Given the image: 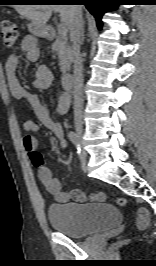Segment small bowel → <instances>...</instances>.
Wrapping results in <instances>:
<instances>
[{
	"mask_svg": "<svg viewBox=\"0 0 156 266\" xmlns=\"http://www.w3.org/2000/svg\"><path fill=\"white\" fill-rule=\"evenodd\" d=\"M20 47L29 60L37 58L39 50L32 36H25L21 41ZM18 65L19 57L14 54L10 55L5 63L7 84L11 95L19 101L26 102L31 107L40 122L55 135L60 144V148L64 149L66 147V140L61 122L51 116L49 109L40 101L36 94L29 93L24 89L17 75ZM52 78L50 70L46 66H40L36 71L33 85L40 90L47 89L52 83ZM69 106L70 98L68 94H61L57 105L58 113L60 115H65ZM23 128L28 133L23 138V148L31 157L33 153L38 152V141L34 135L39 132V125L32 119H27L23 124ZM37 168L40 181L47 192L53 195L57 202L65 203L70 200L83 202L86 199L85 194L78 189L62 191L60 181L53 176L51 170L45 165H41ZM91 199L101 202L105 200V195L99 192L93 194Z\"/></svg>",
	"mask_w": 156,
	"mask_h": 266,
	"instance_id": "obj_1",
	"label": "small bowel"
}]
</instances>
